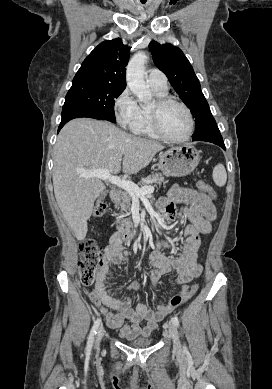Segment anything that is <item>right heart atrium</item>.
I'll use <instances>...</instances> for the list:
<instances>
[{
  "label": "right heart atrium",
  "instance_id": "right-heart-atrium-1",
  "mask_svg": "<svg viewBox=\"0 0 272 389\" xmlns=\"http://www.w3.org/2000/svg\"><path fill=\"white\" fill-rule=\"evenodd\" d=\"M114 112L122 127H131L137 120L140 107L128 88H125L115 99Z\"/></svg>",
  "mask_w": 272,
  "mask_h": 389
}]
</instances>
